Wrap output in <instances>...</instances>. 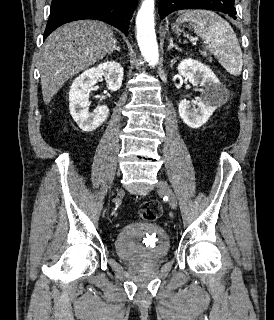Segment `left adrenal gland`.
I'll list each match as a JSON object with an SVG mask.
<instances>
[{
    "mask_svg": "<svg viewBox=\"0 0 274 320\" xmlns=\"http://www.w3.org/2000/svg\"><path fill=\"white\" fill-rule=\"evenodd\" d=\"M172 48H175V50H178V52H181V48H178V46H175L173 42V38H170V44L168 46V50H172Z\"/></svg>",
    "mask_w": 274,
    "mask_h": 320,
    "instance_id": "1",
    "label": "left adrenal gland"
}]
</instances>
